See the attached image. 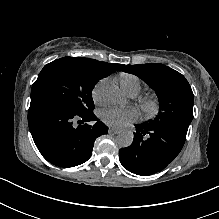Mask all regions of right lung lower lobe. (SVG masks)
Listing matches in <instances>:
<instances>
[{"label":"right lung lower lobe","mask_w":219,"mask_h":219,"mask_svg":"<svg viewBox=\"0 0 219 219\" xmlns=\"http://www.w3.org/2000/svg\"><path fill=\"white\" fill-rule=\"evenodd\" d=\"M91 121L96 123L88 124ZM28 124L40 153L60 167L86 162L92 154L95 139L108 132V127L93 113L76 114L48 100L31 101Z\"/></svg>","instance_id":"obj_1"}]
</instances>
